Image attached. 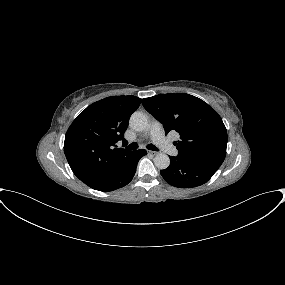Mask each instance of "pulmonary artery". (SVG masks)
<instances>
[{
	"label": "pulmonary artery",
	"mask_w": 285,
	"mask_h": 285,
	"mask_svg": "<svg viewBox=\"0 0 285 285\" xmlns=\"http://www.w3.org/2000/svg\"><path fill=\"white\" fill-rule=\"evenodd\" d=\"M146 136L150 137L153 142L160 147L165 153L176 155L177 149L172 142L163 135L162 126L159 122L153 121L147 132Z\"/></svg>",
	"instance_id": "e3ab8cb5"
}]
</instances>
